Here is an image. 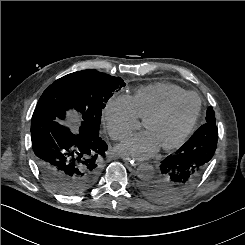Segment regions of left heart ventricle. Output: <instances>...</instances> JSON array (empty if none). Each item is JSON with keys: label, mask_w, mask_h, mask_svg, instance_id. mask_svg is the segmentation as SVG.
Returning a JSON list of instances; mask_svg holds the SVG:
<instances>
[{"label": "left heart ventricle", "mask_w": 245, "mask_h": 245, "mask_svg": "<svg viewBox=\"0 0 245 245\" xmlns=\"http://www.w3.org/2000/svg\"><path fill=\"white\" fill-rule=\"evenodd\" d=\"M198 107V100L189 97L178 103L163 118L146 127L159 146L174 142L193 120Z\"/></svg>", "instance_id": "obj_1"}]
</instances>
